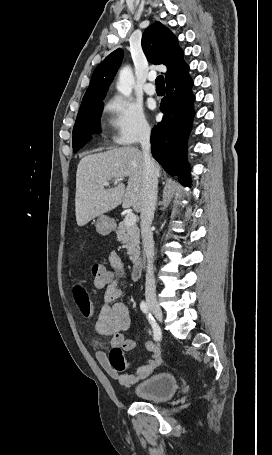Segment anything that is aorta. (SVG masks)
Returning <instances> with one entry per match:
<instances>
[{
    "instance_id": "1",
    "label": "aorta",
    "mask_w": 272,
    "mask_h": 455,
    "mask_svg": "<svg viewBox=\"0 0 272 455\" xmlns=\"http://www.w3.org/2000/svg\"><path fill=\"white\" fill-rule=\"evenodd\" d=\"M134 75L132 69L129 66L122 68L119 72V78L117 82V90L125 97H129L133 84H134Z\"/></svg>"
}]
</instances>
